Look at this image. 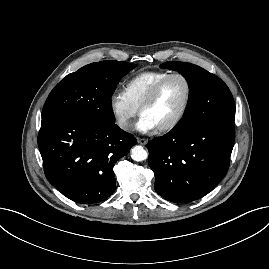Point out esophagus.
Returning a JSON list of instances; mask_svg holds the SVG:
<instances>
[{
	"instance_id": "34e87169",
	"label": "esophagus",
	"mask_w": 269,
	"mask_h": 269,
	"mask_svg": "<svg viewBox=\"0 0 269 269\" xmlns=\"http://www.w3.org/2000/svg\"><path fill=\"white\" fill-rule=\"evenodd\" d=\"M137 142L141 145H146L148 141L144 138H137Z\"/></svg>"
}]
</instances>
